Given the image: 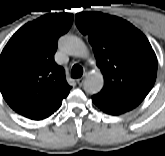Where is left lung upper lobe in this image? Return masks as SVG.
I'll return each instance as SVG.
<instances>
[{"mask_svg":"<svg viewBox=\"0 0 165 156\" xmlns=\"http://www.w3.org/2000/svg\"><path fill=\"white\" fill-rule=\"evenodd\" d=\"M75 23L88 36L105 84L97 94L130 111L152 89L157 58L145 35L126 20L99 12L80 13Z\"/></svg>","mask_w":165,"mask_h":156,"instance_id":"5c2ea615","label":"left lung upper lobe"}]
</instances>
